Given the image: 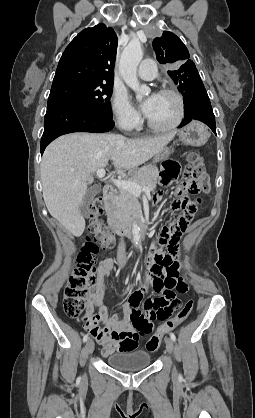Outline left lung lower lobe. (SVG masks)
I'll list each match as a JSON object with an SVG mask.
<instances>
[{"mask_svg":"<svg viewBox=\"0 0 255 418\" xmlns=\"http://www.w3.org/2000/svg\"><path fill=\"white\" fill-rule=\"evenodd\" d=\"M184 115L185 118L179 127L188 124L191 120H199L208 125L216 134L214 113L204 87L184 95Z\"/></svg>","mask_w":255,"mask_h":418,"instance_id":"left-lung-lower-lobe-1","label":"left lung lower lobe"}]
</instances>
